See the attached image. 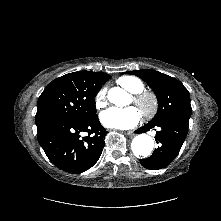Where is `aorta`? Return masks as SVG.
Returning a JSON list of instances; mask_svg holds the SVG:
<instances>
[{
	"label": "aorta",
	"instance_id": "obj_1",
	"mask_svg": "<svg viewBox=\"0 0 221 221\" xmlns=\"http://www.w3.org/2000/svg\"><path fill=\"white\" fill-rule=\"evenodd\" d=\"M127 93L119 87L111 88L108 92V99L111 103L117 106H123L125 104ZM154 147V141L152 137L147 134H140L134 137L131 149L135 156L148 157L150 156Z\"/></svg>",
	"mask_w": 221,
	"mask_h": 221
}]
</instances>
